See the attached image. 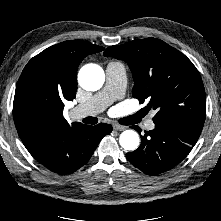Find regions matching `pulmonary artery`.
<instances>
[{
    "label": "pulmonary artery",
    "instance_id": "pulmonary-artery-1",
    "mask_svg": "<svg viewBox=\"0 0 221 221\" xmlns=\"http://www.w3.org/2000/svg\"><path fill=\"white\" fill-rule=\"evenodd\" d=\"M105 86L93 95L87 102L73 109V118L93 116L106 109L115 100L121 98L125 92L126 74L122 63L111 61L106 66ZM155 124L152 119L146 122L148 130L154 129Z\"/></svg>",
    "mask_w": 221,
    "mask_h": 221
}]
</instances>
